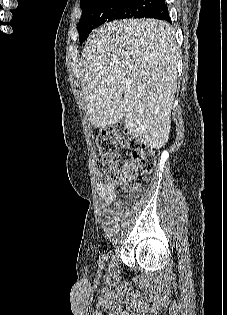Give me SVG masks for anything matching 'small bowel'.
I'll return each instance as SVG.
<instances>
[{"instance_id":"1","label":"small bowel","mask_w":227,"mask_h":315,"mask_svg":"<svg viewBox=\"0 0 227 315\" xmlns=\"http://www.w3.org/2000/svg\"><path fill=\"white\" fill-rule=\"evenodd\" d=\"M117 186H120L124 192H128L129 190L134 194L138 192V187L129 188L126 178L122 176L118 177L114 182L98 186L99 193L103 199L101 224L105 230H110L124 212L125 204L121 201L115 202L117 198ZM113 203L114 206L111 207Z\"/></svg>"}]
</instances>
